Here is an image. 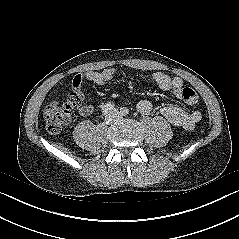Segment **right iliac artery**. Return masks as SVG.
Returning a JSON list of instances; mask_svg holds the SVG:
<instances>
[{
  "instance_id": "1",
  "label": "right iliac artery",
  "mask_w": 239,
  "mask_h": 239,
  "mask_svg": "<svg viewBox=\"0 0 239 239\" xmlns=\"http://www.w3.org/2000/svg\"><path fill=\"white\" fill-rule=\"evenodd\" d=\"M114 107V104L109 102L106 103L103 107H102V113L103 115L108 114V112H110V110Z\"/></svg>"
}]
</instances>
